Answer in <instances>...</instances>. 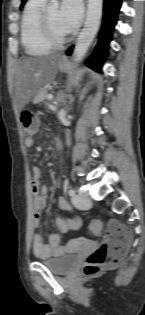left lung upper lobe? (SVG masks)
<instances>
[{
    "label": "left lung upper lobe",
    "instance_id": "1",
    "mask_svg": "<svg viewBox=\"0 0 145 315\" xmlns=\"http://www.w3.org/2000/svg\"><path fill=\"white\" fill-rule=\"evenodd\" d=\"M25 2H26V0H22V4H21V6H20L21 9L23 8Z\"/></svg>",
    "mask_w": 145,
    "mask_h": 315
}]
</instances>
